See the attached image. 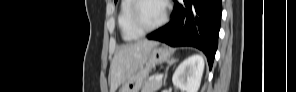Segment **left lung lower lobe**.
I'll use <instances>...</instances> for the list:
<instances>
[{
  "label": "left lung lower lobe",
  "mask_w": 296,
  "mask_h": 92,
  "mask_svg": "<svg viewBox=\"0 0 296 92\" xmlns=\"http://www.w3.org/2000/svg\"><path fill=\"white\" fill-rule=\"evenodd\" d=\"M174 1L171 21L147 35L170 46H193L203 51L212 67L218 45L221 0Z\"/></svg>",
  "instance_id": "obj_1"
}]
</instances>
